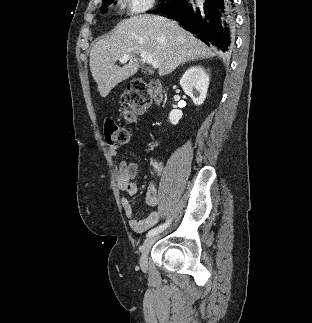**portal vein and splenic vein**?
<instances>
[{"mask_svg": "<svg viewBox=\"0 0 312 323\" xmlns=\"http://www.w3.org/2000/svg\"><path fill=\"white\" fill-rule=\"evenodd\" d=\"M142 60H144V62H147V64H151V66H153V68H159V64L158 62H153V60H151V58H149V56H147L146 52H141L140 54ZM130 56H122V58H119V62H121V64H126V62H128Z\"/></svg>", "mask_w": 312, "mask_h": 323, "instance_id": "portal-vein-and-splenic-vein-1", "label": "portal vein and splenic vein"}]
</instances>
